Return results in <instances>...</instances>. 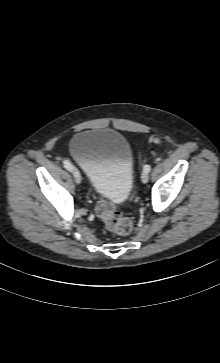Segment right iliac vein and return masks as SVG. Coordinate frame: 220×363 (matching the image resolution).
Here are the masks:
<instances>
[{
    "instance_id": "right-iliac-vein-1",
    "label": "right iliac vein",
    "mask_w": 220,
    "mask_h": 363,
    "mask_svg": "<svg viewBox=\"0 0 220 363\" xmlns=\"http://www.w3.org/2000/svg\"><path fill=\"white\" fill-rule=\"evenodd\" d=\"M72 173H73V177H74V180L77 184H80L81 183V174L80 172L78 171L77 168L73 167L72 169Z\"/></svg>"
}]
</instances>
